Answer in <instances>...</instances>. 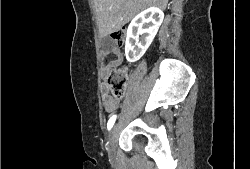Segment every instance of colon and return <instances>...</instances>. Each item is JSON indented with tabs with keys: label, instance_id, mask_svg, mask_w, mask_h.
I'll return each instance as SVG.
<instances>
[{
	"label": "colon",
	"instance_id": "5ec220e1",
	"mask_svg": "<svg viewBox=\"0 0 250 169\" xmlns=\"http://www.w3.org/2000/svg\"><path fill=\"white\" fill-rule=\"evenodd\" d=\"M126 34L123 30L112 34V43L118 47L125 44ZM128 83V72L124 68L111 70L107 75V84L112 97L121 99L124 97Z\"/></svg>",
	"mask_w": 250,
	"mask_h": 169
}]
</instances>
